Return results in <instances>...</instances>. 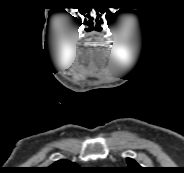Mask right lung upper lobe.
Listing matches in <instances>:
<instances>
[{
    "label": "right lung upper lobe",
    "mask_w": 184,
    "mask_h": 173,
    "mask_svg": "<svg viewBox=\"0 0 184 173\" xmlns=\"http://www.w3.org/2000/svg\"><path fill=\"white\" fill-rule=\"evenodd\" d=\"M78 169L77 164L68 160H59L46 167L44 173H74Z\"/></svg>",
    "instance_id": "obj_1"
}]
</instances>
